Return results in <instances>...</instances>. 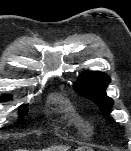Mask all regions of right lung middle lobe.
Instances as JSON below:
<instances>
[{"label":"right lung middle lobe","mask_w":131,"mask_h":151,"mask_svg":"<svg viewBox=\"0 0 131 151\" xmlns=\"http://www.w3.org/2000/svg\"><path fill=\"white\" fill-rule=\"evenodd\" d=\"M4 97H5V98H4V99L1 98V100H7V98H8V99H11V98H12L10 95H4ZM19 112H20V117H21V119H22V118L27 114L28 108H27L26 106H21Z\"/></svg>","instance_id":"dd1d6c3e"}]
</instances>
